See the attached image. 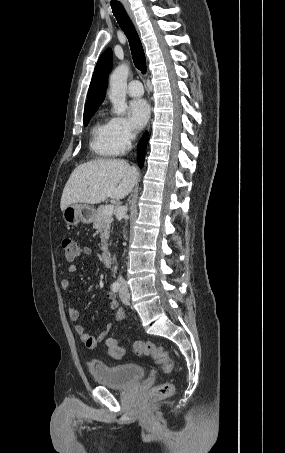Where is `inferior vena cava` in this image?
Returning a JSON list of instances; mask_svg holds the SVG:
<instances>
[{
    "label": "inferior vena cava",
    "instance_id": "inferior-vena-cava-1",
    "mask_svg": "<svg viewBox=\"0 0 285 453\" xmlns=\"http://www.w3.org/2000/svg\"><path fill=\"white\" fill-rule=\"evenodd\" d=\"M133 138H135V135H132V139H133ZM118 281H119L120 283H124L123 277H122V276H119V277H118Z\"/></svg>",
    "mask_w": 285,
    "mask_h": 453
}]
</instances>
